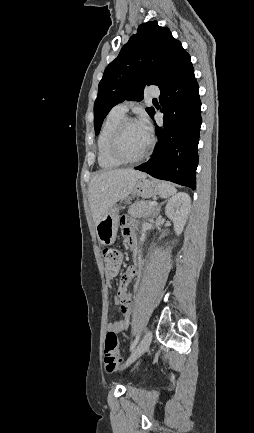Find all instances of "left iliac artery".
Returning a JSON list of instances; mask_svg holds the SVG:
<instances>
[{"mask_svg": "<svg viewBox=\"0 0 254 433\" xmlns=\"http://www.w3.org/2000/svg\"><path fill=\"white\" fill-rule=\"evenodd\" d=\"M139 341V335L136 336V338L134 339V341L132 342L131 346H130V350H133L135 348V346L137 345Z\"/></svg>", "mask_w": 254, "mask_h": 433, "instance_id": "obj_1", "label": "left iliac artery"}]
</instances>
